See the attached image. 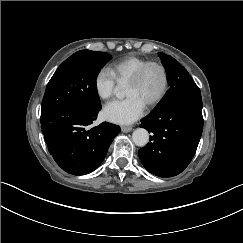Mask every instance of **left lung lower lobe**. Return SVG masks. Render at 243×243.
I'll use <instances>...</instances> for the list:
<instances>
[{"mask_svg":"<svg viewBox=\"0 0 243 243\" xmlns=\"http://www.w3.org/2000/svg\"><path fill=\"white\" fill-rule=\"evenodd\" d=\"M150 142L138 152L143 166L159 177L181 173L191 162L203 130L201 94H181L141 120Z\"/></svg>","mask_w":243,"mask_h":243,"instance_id":"1","label":"left lung lower lobe"}]
</instances>
